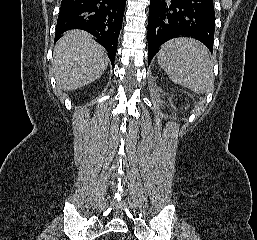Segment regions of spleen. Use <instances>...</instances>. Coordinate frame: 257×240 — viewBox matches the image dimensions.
Instances as JSON below:
<instances>
[{"label":"spleen","mask_w":257,"mask_h":240,"mask_svg":"<svg viewBox=\"0 0 257 240\" xmlns=\"http://www.w3.org/2000/svg\"><path fill=\"white\" fill-rule=\"evenodd\" d=\"M159 66L176 84L201 94L214 85L213 66L207 48L192 38H175L157 54Z\"/></svg>","instance_id":"1"}]
</instances>
